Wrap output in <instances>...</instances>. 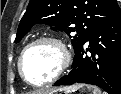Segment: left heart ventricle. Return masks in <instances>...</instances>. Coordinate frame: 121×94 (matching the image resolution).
<instances>
[{
	"mask_svg": "<svg viewBox=\"0 0 121 94\" xmlns=\"http://www.w3.org/2000/svg\"><path fill=\"white\" fill-rule=\"evenodd\" d=\"M60 60L57 48L43 43L31 48L23 59V71L29 81L41 83L49 79Z\"/></svg>",
	"mask_w": 121,
	"mask_h": 94,
	"instance_id": "1",
	"label": "left heart ventricle"
}]
</instances>
